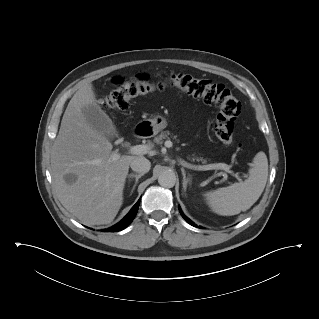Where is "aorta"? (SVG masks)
I'll return each mask as SVG.
<instances>
[{"label":"aorta","instance_id":"aorta-1","mask_svg":"<svg viewBox=\"0 0 319 319\" xmlns=\"http://www.w3.org/2000/svg\"><path fill=\"white\" fill-rule=\"evenodd\" d=\"M158 183L162 187L172 188L176 183V176L173 171H163L158 177Z\"/></svg>","mask_w":319,"mask_h":319}]
</instances>
